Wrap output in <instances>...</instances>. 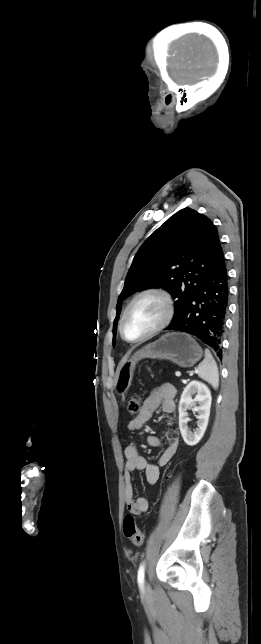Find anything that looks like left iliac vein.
Returning <instances> with one entry per match:
<instances>
[{"mask_svg":"<svg viewBox=\"0 0 261 644\" xmlns=\"http://www.w3.org/2000/svg\"><path fill=\"white\" fill-rule=\"evenodd\" d=\"M149 589H150L149 585H148V584H146V585H145V590H146V591H149Z\"/></svg>","mask_w":261,"mask_h":644,"instance_id":"1","label":"left iliac vein"}]
</instances>
